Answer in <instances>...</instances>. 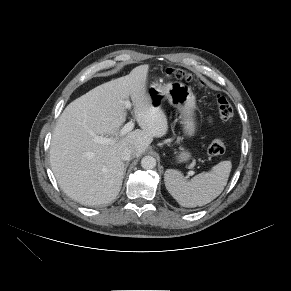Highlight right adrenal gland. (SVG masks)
Wrapping results in <instances>:
<instances>
[{"instance_id":"obj_1","label":"right adrenal gland","mask_w":291,"mask_h":291,"mask_svg":"<svg viewBox=\"0 0 291 291\" xmlns=\"http://www.w3.org/2000/svg\"><path fill=\"white\" fill-rule=\"evenodd\" d=\"M127 167H128V163L125 164L124 175H125V173H126V169H127Z\"/></svg>"}]
</instances>
